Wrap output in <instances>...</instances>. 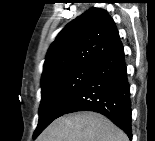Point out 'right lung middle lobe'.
Here are the masks:
<instances>
[{
  "label": "right lung middle lobe",
  "mask_w": 155,
  "mask_h": 141,
  "mask_svg": "<svg viewBox=\"0 0 155 141\" xmlns=\"http://www.w3.org/2000/svg\"><path fill=\"white\" fill-rule=\"evenodd\" d=\"M94 68H74L55 74L42 81V99L39 107V121L33 139L56 118L64 106L78 92L92 74Z\"/></svg>",
  "instance_id": "1"
}]
</instances>
